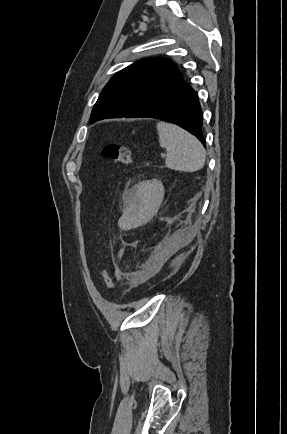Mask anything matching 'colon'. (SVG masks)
Instances as JSON below:
<instances>
[{
	"instance_id": "colon-1",
	"label": "colon",
	"mask_w": 287,
	"mask_h": 434,
	"mask_svg": "<svg viewBox=\"0 0 287 434\" xmlns=\"http://www.w3.org/2000/svg\"><path fill=\"white\" fill-rule=\"evenodd\" d=\"M103 154L105 157L123 165H129L132 163V152L127 146L110 144L104 147ZM102 281L106 289H113L114 281L109 269L105 268L102 271Z\"/></svg>"
}]
</instances>
